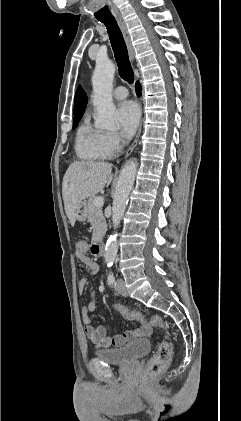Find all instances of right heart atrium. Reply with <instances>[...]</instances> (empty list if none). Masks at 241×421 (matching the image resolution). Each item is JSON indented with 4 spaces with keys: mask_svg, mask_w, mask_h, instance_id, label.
<instances>
[{
    "mask_svg": "<svg viewBox=\"0 0 241 421\" xmlns=\"http://www.w3.org/2000/svg\"><path fill=\"white\" fill-rule=\"evenodd\" d=\"M101 143L107 157L115 155L122 146L121 138L111 132H101Z\"/></svg>",
    "mask_w": 241,
    "mask_h": 421,
    "instance_id": "obj_1",
    "label": "right heart atrium"
}]
</instances>
